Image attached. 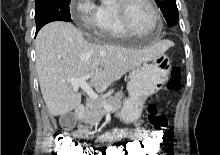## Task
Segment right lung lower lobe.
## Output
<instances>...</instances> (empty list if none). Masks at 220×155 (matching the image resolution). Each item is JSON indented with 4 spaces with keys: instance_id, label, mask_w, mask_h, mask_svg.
<instances>
[{
    "instance_id": "98d812e1",
    "label": "right lung lower lobe",
    "mask_w": 220,
    "mask_h": 155,
    "mask_svg": "<svg viewBox=\"0 0 220 155\" xmlns=\"http://www.w3.org/2000/svg\"><path fill=\"white\" fill-rule=\"evenodd\" d=\"M39 31V29H36V33Z\"/></svg>"
}]
</instances>
